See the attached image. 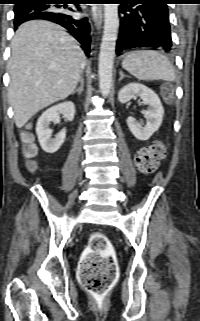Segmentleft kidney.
Listing matches in <instances>:
<instances>
[{"instance_id": "obj_1", "label": "left kidney", "mask_w": 200, "mask_h": 321, "mask_svg": "<svg viewBox=\"0 0 200 321\" xmlns=\"http://www.w3.org/2000/svg\"><path fill=\"white\" fill-rule=\"evenodd\" d=\"M135 95H138L147 105L148 109L143 110L147 118L145 125L138 123L134 117L127 118V124L131 133L141 141L148 140L162 123L164 109L158 95L139 83H129L125 85L118 93V100L121 103H127Z\"/></svg>"}]
</instances>
